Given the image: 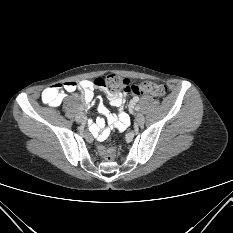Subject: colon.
<instances>
[{
	"label": "colon",
	"mask_w": 233,
	"mask_h": 233,
	"mask_svg": "<svg viewBox=\"0 0 233 233\" xmlns=\"http://www.w3.org/2000/svg\"><path fill=\"white\" fill-rule=\"evenodd\" d=\"M106 82L109 85L111 92H124L135 95L149 94L154 97H162L166 94L167 89L165 86L153 82H142L140 84H133L130 80L123 78L119 75L110 74L107 76L99 77L97 80ZM99 153L107 160H112L115 157V150L111 147L99 146Z\"/></svg>",
	"instance_id": "5ec220e1"
}]
</instances>
